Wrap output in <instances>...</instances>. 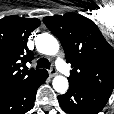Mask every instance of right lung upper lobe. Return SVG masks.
<instances>
[{
  "mask_svg": "<svg viewBox=\"0 0 114 114\" xmlns=\"http://www.w3.org/2000/svg\"><path fill=\"white\" fill-rule=\"evenodd\" d=\"M39 25L36 18L7 16L0 20V94L45 71L27 70L25 65L34 58L27 47L28 37Z\"/></svg>",
  "mask_w": 114,
  "mask_h": 114,
  "instance_id": "right-lung-upper-lobe-1",
  "label": "right lung upper lobe"
}]
</instances>
